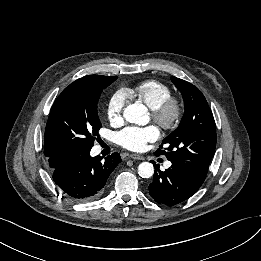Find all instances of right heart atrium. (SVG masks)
<instances>
[{
  "label": "right heart atrium",
  "instance_id": "1",
  "mask_svg": "<svg viewBox=\"0 0 261 261\" xmlns=\"http://www.w3.org/2000/svg\"><path fill=\"white\" fill-rule=\"evenodd\" d=\"M126 104V93L123 90L115 92L108 100L106 114L112 124H119L123 120Z\"/></svg>",
  "mask_w": 261,
  "mask_h": 261
}]
</instances>
